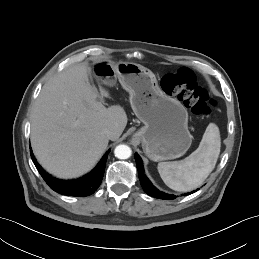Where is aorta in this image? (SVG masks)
<instances>
[{
  "label": "aorta",
  "instance_id": "obj_1",
  "mask_svg": "<svg viewBox=\"0 0 259 259\" xmlns=\"http://www.w3.org/2000/svg\"><path fill=\"white\" fill-rule=\"evenodd\" d=\"M131 148L127 145H118L114 150L115 157L118 159H128L131 156Z\"/></svg>",
  "mask_w": 259,
  "mask_h": 259
}]
</instances>
